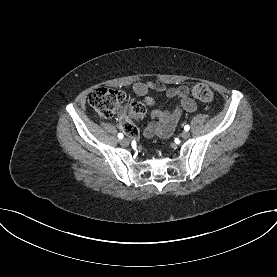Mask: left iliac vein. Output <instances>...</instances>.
<instances>
[{
    "label": "left iliac vein",
    "instance_id": "1",
    "mask_svg": "<svg viewBox=\"0 0 277 277\" xmlns=\"http://www.w3.org/2000/svg\"><path fill=\"white\" fill-rule=\"evenodd\" d=\"M189 136H190V133H189L188 131H183V132L181 133V137H182L183 139H187V138H189Z\"/></svg>",
    "mask_w": 277,
    "mask_h": 277
}]
</instances>
